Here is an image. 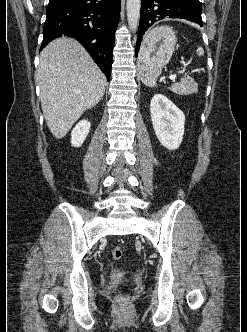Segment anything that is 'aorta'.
I'll use <instances>...</instances> for the list:
<instances>
[{
    "label": "aorta",
    "instance_id": "obj_1",
    "mask_svg": "<svg viewBox=\"0 0 247 332\" xmlns=\"http://www.w3.org/2000/svg\"><path fill=\"white\" fill-rule=\"evenodd\" d=\"M141 0H127V19L130 30L136 31L140 18Z\"/></svg>",
    "mask_w": 247,
    "mask_h": 332
}]
</instances>
